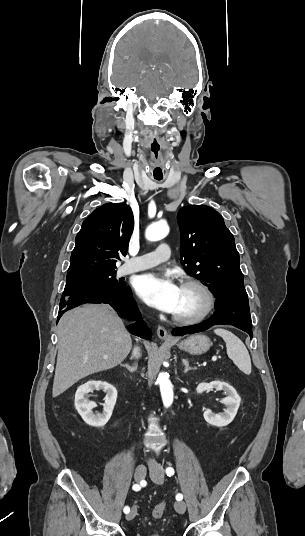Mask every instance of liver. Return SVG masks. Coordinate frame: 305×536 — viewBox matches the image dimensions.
<instances>
[{
  "instance_id": "liver-1",
  "label": "liver",
  "mask_w": 305,
  "mask_h": 536,
  "mask_svg": "<svg viewBox=\"0 0 305 536\" xmlns=\"http://www.w3.org/2000/svg\"><path fill=\"white\" fill-rule=\"evenodd\" d=\"M58 338L53 398L89 374L115 368L132 346L122 320L105 304H84L66 312L58 324Z\"/></svg>"
}]
</instances>
